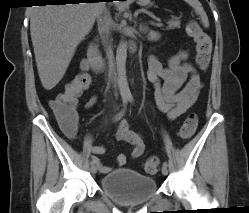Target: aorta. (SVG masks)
Instances as JSON below:
<instances>
[{"instance_id":"aorta-1","label":"aorta","mask_w":249,"mask_h":213,"mask_svg":"<svg viewBox=\"0 0 249 213\" xmlns=\"http://www.w3.org/2000/svg\"><path fill=\"white\" fill-rule=\"evenodd\" d=\"M127 44L120 41L116 52V67L118 75V86L122 97H130L131 92L126 77Z\"/></svg>"}]
</instances>
